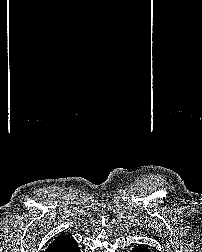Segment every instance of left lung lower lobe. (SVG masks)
Returning a JSON list of instances; mask_svg holds the SVG:
<instances>
[{
  "label": "left lung lower lobe",
  "mask_w": 202,
  "mask_h": 252,
  "mask_svg": "<svg viewBox=\"0 0 202 252\" xmlns=\"http://www.w3.org/2000/svg\"><path fill=\"white\" fill-rule=\"evenodd\" d=\"M132 252H151V250L149 249L148 246L142 244L137 247H134Z\"/></svg>",
  "instance_id": "obj_1"
}]
</instances>
